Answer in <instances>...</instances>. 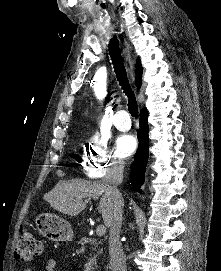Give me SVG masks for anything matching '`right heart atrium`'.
I'll return each mask as SVG.
<instances>
[{
	"label": "right heart atrium",
	"mask_w": 221,
	"mask_h": 271,
	"mask_svg": "<svg viewBox=\"0 0 221 271\" xmlns=\"http://www.w3.org/2000/svg\"><path fill=\"white\" fill-rule=\"evenodd\" d=\"M89 151H82V170H89L86 172V177H103L106 173L107 167H112L113 155L107 151V146H89Z\"/></svg>",
	"instance_id": "obj_1"
}]
</instances>
